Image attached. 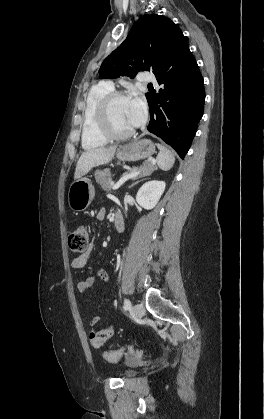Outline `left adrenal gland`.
Returning a JSON list of instances; mask_svg holds the SVG:
<instances>
[{
    "label": "left adrenal gland",
    "instance_id": "obj_1",
    "mask_svg": "<svg viewBox=\"0 0 264 419\" xmlns=\"http://www.w3.org/2000/svg\"><path fill=\"white\" fill-rule=\"evenodd\" d=\"M141 180H138V181H136V182H134L131 186H130V188L131 187H133L134 185H136L137 183H139Z\"/></svg>",
    "mask_w": 264,
    "mask_h": 419
}]
</instances>
